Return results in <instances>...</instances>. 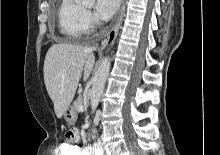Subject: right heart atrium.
Here are the masks:
<instances>
[{"instance_id": "obj_1", "label": "right heart atrium", "mask_w": 220, "mask_h": 155, "mask_svg": "<svg viewBox=\"0 0 220 155\" xmlns=\"http://www.w3.org/2000/svg\"><path fill=\"white\" fill-rule=\"evenodd\" d=\"M85 19L88 29H93L99 23L98 17L90 11L86 12Z\"/></svg>"}]
</instances>
